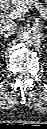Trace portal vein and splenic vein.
Listing matches in <instances>:
<instances>
[{
	"label": "portal vein and splenic vein",
	"mask_w": 47,
	"mask_h": 129,
	"mask_svg": "<svg viewBox=\"0 0 47 129\" xmlns=\"http://www.w3.org/2000/svg\"><path fill=\"white\" fill-rule=\"evenodd\" d=\"M34 5L38 10H40L44 15H46V10L37 0H24L22 4L15 6V8L9 12L8 17L15 19L24 15L30 6Z\"/></svg>",
	"instance_id": "1"
}]
</instances>
